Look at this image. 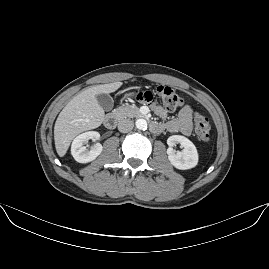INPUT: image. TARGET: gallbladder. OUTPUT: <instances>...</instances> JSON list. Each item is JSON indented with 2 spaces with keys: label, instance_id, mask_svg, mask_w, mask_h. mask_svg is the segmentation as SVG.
<instances>
[{
  "label": "gallbladder",
  "instance_id": "gallbladder-1",
  "mask_svg": "<svg viewBox=\"0 0 269 269\" xmlns=\"http://www.w3.org/2000/svg\"><path fill=\"white\" fill-rule=\"evenodd\" d=\"M96 99L104 110L109 111L112 109L113 100L109 94L107 93L98 94L96 95Z\"/></svg>",
  "mask_w": 269,
  "mask_h": 269
}]
</instances>
